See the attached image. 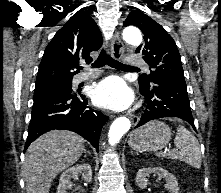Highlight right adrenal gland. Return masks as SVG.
Masks as SVG:
<instances>
[{"label": "right adrenal gland", "mask_w": 221, "mask_h": 193, "mask_svg": "<svg viewBox=\"0 0 221 193\" xmlns=\"http://www.w3.org/2000/svg\"><path fill=\"white\" fill-rule=\"evenodd\" d=\"M87 154H90V152L84 148V157H86Z\"/></svg>", "instance_id": "1"}]
</instances>
